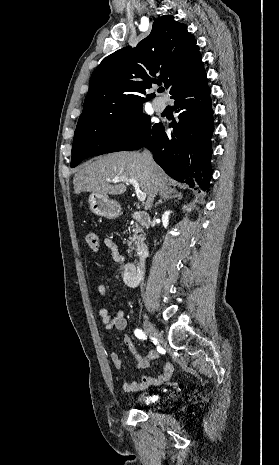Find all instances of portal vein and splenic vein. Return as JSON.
<instances>
[{
  "mask_svg": "<svg viewBox=\"0 0 279 465\" xmlns=\"http://www.w3.org/2000/svg\"><path fill=\"white\" fill-rule=\"evenodd\" d=\"M119 181H127L129 182L131 185H133V187L135 188V192L137 194V198L140 202H144L146 200V193L142 192L140 190V186H139V183L134 180V179H131V178H128V177H117L115 179H112L111 182L113 183H117Z\"/></svg>",
  "mask_w": 279,
  "mask_h": 465,
  "instance_id": "1",
  "label": "portal vein and splenic vein"
}]
</instances>
